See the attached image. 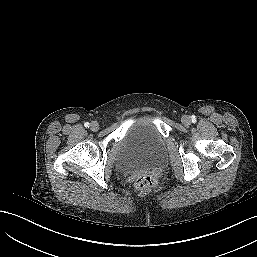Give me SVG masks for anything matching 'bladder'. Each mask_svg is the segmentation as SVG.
Returning a JSON list of instances; mask_svg holds the SVG:
<instances>
[{
	"label": "bladder",
	"instance_id": "1",
	"mask_svg": "<svg viewBox=\"0 0 257 257\" xmlns=\"http://www.w3.org/2000/svg\"><path fill=\"white\" fill-rule=\"evenodd\" d=\"M121 160L125 171L160 166L166 156V144L153 117L144 113L130 125L120 141Z\"/></svg>",
	"mask_w": 257,
	"mask_h": 257
}]
</instances>
